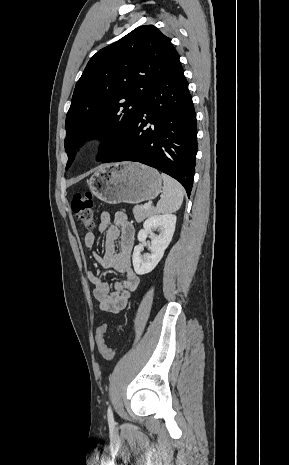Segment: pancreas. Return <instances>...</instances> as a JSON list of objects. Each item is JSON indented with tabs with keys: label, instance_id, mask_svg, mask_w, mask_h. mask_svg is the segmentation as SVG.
<instances>
[{
	"label": "pancreas",
	"instance_id": "pancreas-1",
	"mask_svg": "<svg viewBox=\"0 0 289 465\" xmlns=\"http://www.w3.org/2000/svg\"><path fill=\"white\" fill-rule=\"evenodd\" d=\"M133 214L137 222L143 221L145 218L153 214V210L145 209L144 206H135L133 208Z\"/></svg>",
	"mask_w": 289,
	"mask_h": 465
}]
</instances>
